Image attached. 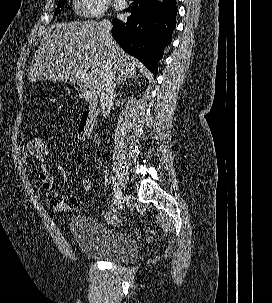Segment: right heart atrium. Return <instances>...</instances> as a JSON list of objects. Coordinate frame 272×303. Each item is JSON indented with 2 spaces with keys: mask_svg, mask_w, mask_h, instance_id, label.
<instances>
[{
  "mask_svg": "<svg viewBox=\"0 0 272 303\" xmlns=\"http://www.w3.org/2000/svg\"><path fill=\"white\" fill-rule=\"evenodd\" d=\"M77 6L86 17H101L108 10L109 0H77Z\"/></svg>",
  "mask_w": 272,
  "mask_h": 303,
  "instance_id": "1",
  "label": "right heart atrium"
}]
</instances>
